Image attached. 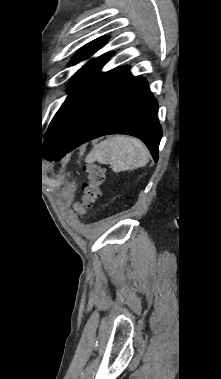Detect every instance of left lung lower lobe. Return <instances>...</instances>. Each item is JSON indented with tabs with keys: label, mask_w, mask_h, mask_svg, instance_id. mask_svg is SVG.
<instances>
[{
	"label": "left lung lower lobe",
	"mask_w": 221,
	"mask_h": 379,
	"mask_svg": "<svg viewBox=\"0 0 221 379\" xmlns=\"http://www.w3.org/2000/svg\"><path fill=\"white\" fill-rule=\"evenodd\" d=\"M107 134L141 139L158 161L162 130L158 105L142 77L125 70L77 123L61 147L48 159L59 160L79 145Z\"/></svg>",
	"instance_id": "obj_1"
}]
</instances>
